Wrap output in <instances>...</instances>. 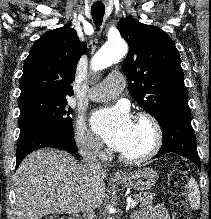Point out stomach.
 Returning a JSON list of instances; mask_svg holds the SVG:
<instances>
[{
	"label": "stomach",
	"mask_w": 211,
	"mask_h": 219,
	"mask_svg": "<svg viewBox=\"0 0 211 219\" xmlns=\"http://www.w3.org/2000/svg\"><path fill=\"white\" fill-rule=\"evenodd\" d=\"M158 179V174L151 168L142 167L130 172L118 180L123 186L144 191L152 188Z\"/></svg>",
	"instance_id": "stomach-1"
}]
</instances>
